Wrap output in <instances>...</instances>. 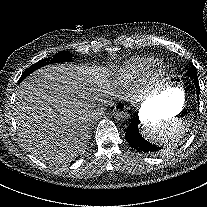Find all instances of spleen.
<instances>
[{
    "label": "spleen",
    "instance_id": "spleen-1",
    "mask_svg": "<svg viewBox=\"0 0 207 207\" xmlns=\"http://www.w3.org/2000/svg\"><path fill=\"white\" fill-rule=\"evenodd\" d=\"M194 126V121L189 116H178L168 121L158 120L151 124H143L138 129V134L143 139H148L151 144L167 146L180 143L185 135Z\"/></svg>",
    "mask_w": 207,
    "mask_h": 207
}]
</instances>
